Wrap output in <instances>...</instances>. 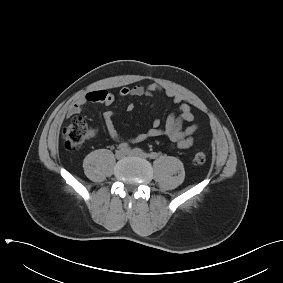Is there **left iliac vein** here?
I'll list each match as a JSON object with an SVG mask.
<instances>
[{"instance_id": "obj_1", "label": "left iliac vein", "mask_w": 283, "mask_h": 283, "mask_svg": "<svg viewBox=\"0 0 283 283\" xmlns=\"http://www.w3.org/2000/svg\"><path fill=\"white\" fill-rule=\"evenodd\" d=\"M127 154L141 158H147V155L139 148H134L131 151H128Z\"/></svg>"}]
</instances>
